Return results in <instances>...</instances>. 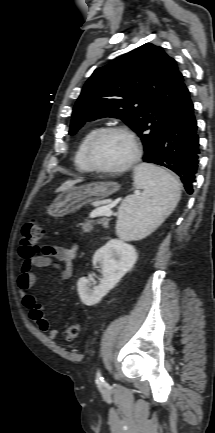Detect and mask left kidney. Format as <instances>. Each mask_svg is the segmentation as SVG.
<instances>
[{
    "instance_id": "5707ae66",
    "label": "left kidney",
    "mask_w": 215,
    "mask_h": 433,
    "mask_svg": "<svg viewBox=\"0 0 215 433\" xmlns=\"http://www.w3.org/2000/svg\"><path fill=\"white\" fill-rule=\"evenodd\" d=\"M137 258L134 246L118 239L108 241L93 256V265L99 263L102 268L99 285L91 289L90 281L85 277H81L77 282L81 302L87 306L98 303L133 267Z\"/></svg>"
}]
</instances>
